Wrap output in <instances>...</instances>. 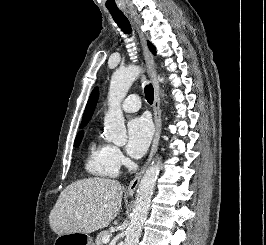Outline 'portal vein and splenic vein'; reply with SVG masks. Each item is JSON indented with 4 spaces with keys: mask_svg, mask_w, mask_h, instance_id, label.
<instances>
[{
    "mask_svg": "<svg viewBox=\"0 0 266 245\" xmlns=\"http://www.w3.org/2000/svg\"><path fill=\"white\" fill-rule=\"evenodd\" d=\"M102 241H103V243H109L110 235H107V237H103Z\"/></svg>",
    "mask_w": 266,
    "mask_h": 245,
    "instance_id": "portal-vein-and-splenic-vein-1",
    "label": "portal vein and splenic vein"
}]
</instances>
